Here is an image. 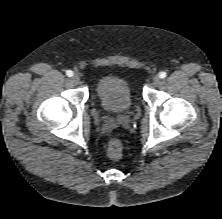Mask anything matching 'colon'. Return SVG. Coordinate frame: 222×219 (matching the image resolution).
Returning a JSON list of instances; mask_svg holds the SVG:
<instances>
[{
  "label": "colon",
  "instance_id": "5ec220e1",
  "mask_svg": "<svg viewBox=\"0 0 222 219\" xmlns=\"http://www.w3.org/2000/svg\"><path fill=\"white\" fill-rule=\"evenodd\" d=\"M107 153L111 159L117 160L120 159L123 153V144L118 139H111L108 142Z\"/></svg>",
  "mask_w": 222,
  "mask_h": 219
}]
</instances>
